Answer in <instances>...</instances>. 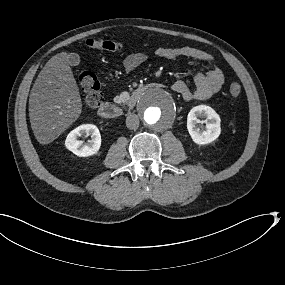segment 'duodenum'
Returning a JSON list of instances; mask_svg holds the SVG:
<instances>
[{
  "label": "duodenum",
  "instance_id": "1",
  "mask_svg": "<svg viewBox=\"0 0 285 285\" xmlns=\"http://www.w3.org/2000/svg\"><path fill=\"white\" fill-rule=\"evenodd\" d=\"M151 87H161L160 84H146L135 89L128 98L127 106L132 108L143 93ZM98 115L106 120L116 119L123 114V109L118 104L105 102L98 108Z\"/></svg>",
  "mask_w": 285,
  "mask_h": 285
}]
</instances>
